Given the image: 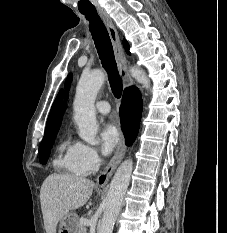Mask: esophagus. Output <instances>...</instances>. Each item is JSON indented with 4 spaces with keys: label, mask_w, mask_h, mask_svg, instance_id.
<instances>
[{
    "label": "esophagus",
    "mask_w": 227,
    "mask_h": 233,
    "mask_svg": "<svg viewBox=\"0 0 227 233\" xmlns=\"http://www.w3.org/2000/svg\"><path fill=\"white\" fill-rule=\"evenodd\" d=\"M98 13H99L100 17L102 18V20H103V22L108 30V33H109V36H110V39H111V42L113 45V50H114L115 58L117 61L120 77L123 81V84L125 87L131 86L133 84V81H132V79L127 71V60H126V57H125L124 52H123L122 47H121L120 38H119V35L117 32V29H116L112 19L106 13L105 10L99 9ZM125 152H126V145L124 142V138L122 137L120 140V143L117 146L115 154L111 158L110 162L107 164L106 168L97 177L96 182H97L98 186L103 187L108 183L111 176L115 172L117 166L122 161V159L125 155Z\"/></svg>",
    "instance_id": "obj_1"
}]
</instances>
